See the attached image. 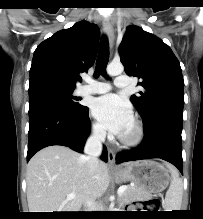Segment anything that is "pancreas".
Returning a JSON list of instances; mask_svg holds the SVG:
<instances>
[{
  "mask_svg": "<svg viewBox=\"0 0 203 219\" xmlns=\"http://www.w3.org/2000/svg\"><path fill=\"white\" fill-rule=\"evenodd\" d=\"M127 189L121 196L122 203H129L133 202L135 200H144L148 199L151 196L147 194L144 190L140 189L137 186H126Z\"/></svg>",
  "mask_w": 203,
  "mask_h": 219,
  "instance_id": "cf45deb5",
  "label": "pancreas"
}]
</instances>
